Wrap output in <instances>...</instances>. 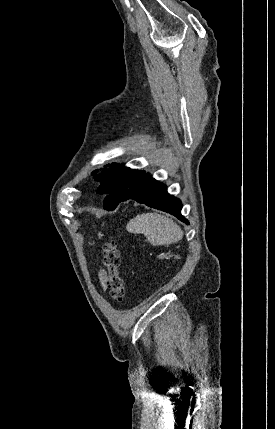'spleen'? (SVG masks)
I'll list each match as a JSON object with an SVG mask.
<instances>
[{"label":"spleen","instance_id":"spleen-1","mask_svg":"<svg viewBox=\"0 0 275 429\" xmlns=\"http://www.w3.org/2000/svg\"><path fill=\"white\" fill-rule=\"evenodd\" d=\"M126 229L130 233L143 234L155 246L172 244L183 237V231L172 219L158 213L137 215Z\"/></svg>","mask_w":275,"mask_h":429}]
</instances>
